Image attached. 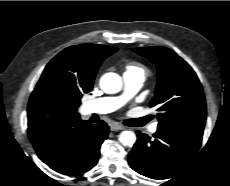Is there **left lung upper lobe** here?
I'll return each instance as SVG.
<instances>
[{
  "instance_id": "obj_1",
  "label": "left lung upper lobe",
  "mask_w": 230,
  "mask_h": 186,
  "mask_svg": "<svg viewBox=\"0 0 230 186\" xmlns=\"http://www.w3.org/2000/svg\"><path fill=\"white\" fill-rule=\"evenodd\" d=\"M132 50L157 65V87L150 106L158 107V127L203 131L206 103L201 83L193 69L165 47Z\"/></svg>"
}]
</instances>
